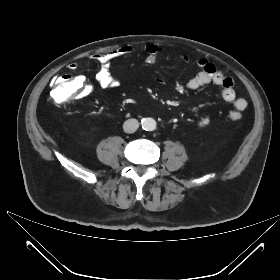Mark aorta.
<instances>
[{
  "label": "aorta",
  "mask_w": 280,
  "mask_h": 280,
  "mask_svg": "<svg viewBox=\"0 0 280 280\" xmlns=\"http://www.w3.org/2000/svg\"><path fill=\"white\" fill-rule=\"evenodd\" d=\"M142 128L146 131H153L156 129V121L153 118L142 119Z\"/></svg>",
  "instance_id": "obj_1"
}]
</instances>
